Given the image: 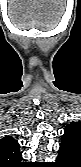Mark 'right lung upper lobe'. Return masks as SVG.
<instances>
[{
  "label": "right lung upper lobe",
  "mask_w": 81,
  "mask_h": 167,
  "mask_svg": "<svg viewBox=\"0 0 81 167\" xmlns=\"http://www.w3.org/2000/svg\"><path fill=\"white\" fill-rule=\"evenodd\" d=\"M21 160L22 154L18 142L11 136L2 138L0 140V166L18 167L24 164Z\"/></svg>",
  "instance_id": "1"
}]
</instances>
